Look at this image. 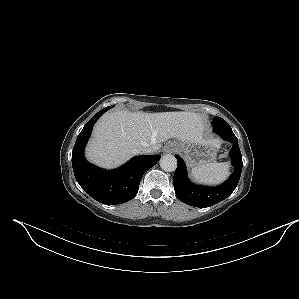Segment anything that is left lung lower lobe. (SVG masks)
Masks as SVG:
<instances>
[{"label": "left lung lower lobe", "mask_w": 299, "mask_h": 299, "mask_svg": "<svg viewBox=\"0 0 299 299\" xmlns=\"http://www.w3.org/2000/svg\"><path fill=\"white\" fill-rule=\"evenodd\" d=\"M212 125L214 131L224 140L233 143L229 155L232 159V165H234L235 171L224 184L218 187L210 188L194 185L187 177L184 161L178 155H175L178 161V166L173 178L175 194L180 201L194 207H210L226 199L236 188L242 172L243 163L238 139L231 127L227 122L220 120H214Z\"/></svg>", "instance_id": "left-lung-lower-lobe-1"}]
</instances>
